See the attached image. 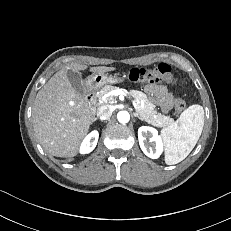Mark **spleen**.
<instances>
[{
    "label": "spleen",
    "mask_w": 231,
    "mask_h": 231,
    "mask_svg": "<svg viewBox=\"0 0 231 231\" xmlns=\"http://www.w3.org/2000/svg\"><path fill=\"white\" fill-rule=\"evenodd\" d=\"M204 126L201 105L189 106L179 119L161 133L165 142V163L174 165L183 161L195 147Z\"/></svg>",
    "instance_id": "3e777b00"
}]
</instances>
